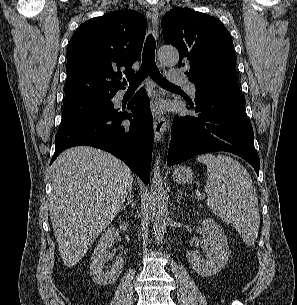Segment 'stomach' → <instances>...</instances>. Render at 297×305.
<instances>
[{
    "instance_id": "obj_1",
    "label": "stomach",
    "mask_w": 297,
    "mask_h": 305,
    "mask_svg": "<svg viewBox=\"0 0 297 305\" xmlns=\"http://www.w3.org/2000/svg\"><path fill=\"white\" fill-rule=\"evenodd\" d=\"M173 179L180 184H189L193 181L194 174L188 166L179 165L173 171Z\"/></svg>"
}]
</instances>
